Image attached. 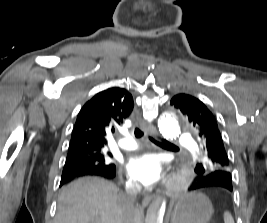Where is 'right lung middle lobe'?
<instances>
[{
    "label": "right lung middle lobe",
    "instance_id": "1",
    "mask_svg": "<svg viewBox=\"0 0 267 223\" xmlns=\"http://www.w3.org/2000/svg\"><path fill=\"white\" fill-rule=\"evenodd\" d=\"M111 156V153L95 146H86L79 150L69 151L62 173H85L95 170L116 169L109 160Z\"/></svg>",
    "mask_w": 267,
    "mask_h": 223
}]
</instances>
